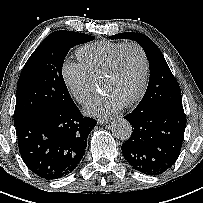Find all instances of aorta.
<instances>
[{
	"label": "aorta",
	"mask_w": 203,
	"mask_h": 203,
	"mask_svg": "<svg viewBox=\"0 0 203 203\" xmlns=\"http://www.w3.org/2000/svg\"><path fill=\"white\" fill-rule=\"evenodd\" d=\"M111 127L113 135L122 141L128 140L132 134V126L126 119H116Z\"/></svg>",
	"instance_id": "1"
}]
</instances>
